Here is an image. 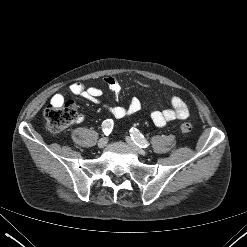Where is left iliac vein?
Wrapping results in <instances>:
<instances>
[{
  "mask_svg": "<svg viewBox=\"0 0 247 247\" xmlns=\"http://www.w3.org/2000/svg\"><path fill=\"white\" fill-rule=\"evenodd\" d=\"M126 142L140 155L144 156L146 154V152L139 147L137 144H135V142L130 138V137H126Z\"/></svg>",
  "mask_w": 247,
  "mask_h": 247,
  "instance_id": "1",
  "label": "left iliac vein"
}]
</instances>
